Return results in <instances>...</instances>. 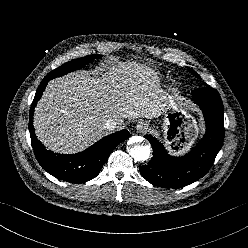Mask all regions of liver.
Segmentation results:
<instances>
[{
	"label": "liver",
	"instance_id": "liver-1",
	"mask_svg": "<svg viewBox=\"0 0 248 248\" xmlns=\"http://www.w3.org/2000/svg\"><path fill=\"white\" fill-rule=\"evenodd\" d=\"M101 76L74 72L49 81L34 113L38 139L58 153L84 150L104 135L107 120L156 118L167 95L154 72L140 63H119Z\"/></svg>",
	"mask_w": 248,
	"mask_h": 248
}]
</instances>
